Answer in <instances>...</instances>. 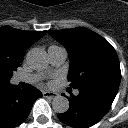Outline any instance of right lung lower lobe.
Wrapping results in <instances>:
<instances>
[{"mask_svg": "<svg viewBox=\"0 0 128 128\" xmlns=\"http://www.w3.org/2000/svg\"><path fill=\"white\" fill-rule=\"evenodd\" d=\"M42 93L31 85L20 90L9 83L0 85V128H15L26 120Z\"/></svg>", "mask_w": 128, "mask_h": 128, "instance_id": "98d812e1", "label": "right lung lower lobe"}]
</instances>
